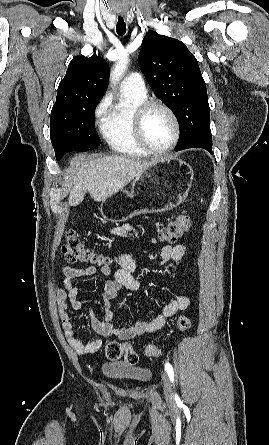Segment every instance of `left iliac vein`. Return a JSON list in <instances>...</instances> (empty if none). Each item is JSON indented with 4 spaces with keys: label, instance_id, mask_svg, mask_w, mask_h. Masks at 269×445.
Returning <instances> with one entry per match:
<instances>
[{
    "label": "left iliac vein",
    "instance_id": "obj_1",
    "mask_svg": "<svg viewBox=\"0 0 269 445\" xmlns=\"http://www.w3.org/2000/svg\"><path fill=\"white\" fill-rule=\"evenodd\" d=\"M162 379H163L165 397L166 399L171 400L173 398V389L170 378L166 373H164Z\"/></svg>",
    "mask_w": 269,
    "mask_h": 445
}]
</instances>
